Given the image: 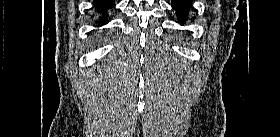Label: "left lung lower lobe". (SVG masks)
<instances>
[{
    "instance_id": "obj_1",
    "label": "left lung lower lobe",
    "mask_w": 280,
    "mask_h": 137,
    "mask_svg": "<svg viewBox=\"0 0 280 137\" xmlns=\"http://www.w3.org/2000/svg\"><path fill=\"white\" fill-rule=\"evenodd\" d=\"M192 0H172L171 6L177 12V18L180 24L186 22L188 18V11L191 8Z\"/></svg>"
}]
</instances>
